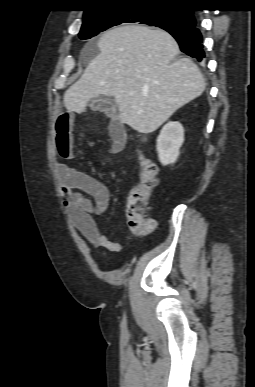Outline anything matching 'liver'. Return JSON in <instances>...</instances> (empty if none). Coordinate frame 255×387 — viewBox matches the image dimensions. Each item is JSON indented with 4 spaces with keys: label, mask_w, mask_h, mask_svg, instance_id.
<instances>
[{
    "label": "liver",
    "mask_w": 255,
    "mask_h": 387,
    "mask_svg": "<svg viewBox=\"0 0 255 387\" xmlns=\"http://www.w3.org/2000/svg\"><path fill=\"white\" fill-rule=\"evenodd\" d=\"M97 45L100 53L64 93L68 111L83 113L90 99L112 96L120 121L148 134L205 89L199 68L189 58H176L179 46L162 29L116 27Z\"/></svg>",
    "instance_id": "1"
}]
</instances>
